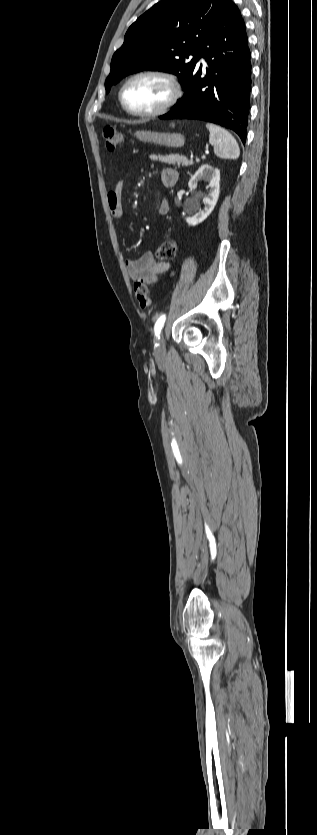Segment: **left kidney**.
<instances>
[{"instance_id": "obj_1", "label": "left kidney", "mask_w": 317, "mask_h": 835, "mask_svg": "<svg viewBox=\"0 0 317 835\" xmlns=\"http://www.w3.org/2000/svg\"><path fill=\"white\" fill-rule=\"evenodd\" d=\"M201 180L209 182V185L207 187L209 188V191L203 197L204 208L201 209L199 208V206H197L199 211L195 213L193 216L185 218L188 225L191 226H195L202 223L212 213L219 197L220 170L208 164H203L197 170L194 176H192L189 180V188L195 189L198 185V182ZM183 216H185V214H183Z\"/></svg>"}]
</instances>
